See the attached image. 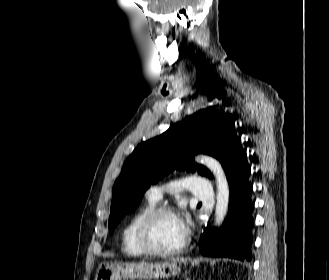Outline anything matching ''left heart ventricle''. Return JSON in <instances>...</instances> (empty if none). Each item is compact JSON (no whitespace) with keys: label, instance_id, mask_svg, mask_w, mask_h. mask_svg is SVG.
<instances>
[{"label":"left heart ventricle","instance_id":"left-heart-ventricle-1","mask_svg":"<svg viewBox=\"0 0 329 280\" xmlns=\"http://www.w3.org/2000/svg\"><path fill=\"white\" fill-rule=\"evenodd\" d=\"M151 237L158 248L170 249L178 246L185 236L176 215L162 214L152 225Z\"/></svg>","mask_w":329,"mask_h":280}]
</instances>
